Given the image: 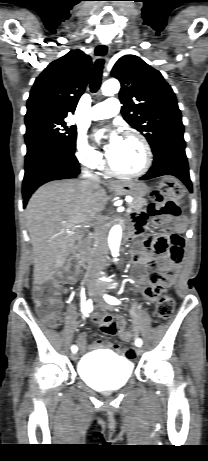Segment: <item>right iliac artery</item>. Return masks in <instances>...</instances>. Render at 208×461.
Masks as SVG:
<instances>
[{
    "label": "right iliac artery",
    "mask_w": 208,
    "mask_h": 461,
    "mask_svg": "<svg viewBox=\"0 0 208 461\" xmlns=\"http://www.w3.org/2000/svg\"><path fill=\"white\" fill-rule=\"evenodd\" d=\"M82 307L85 314L90 313L93 309L92 301L88 300L85 304L82 305ZM71 350L75 353L77 352V347L74 345L72 346Z\"/></svg>",
    "instance_id": "82829eb1"
}]
</instances>
